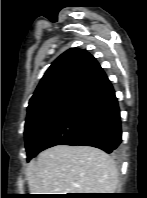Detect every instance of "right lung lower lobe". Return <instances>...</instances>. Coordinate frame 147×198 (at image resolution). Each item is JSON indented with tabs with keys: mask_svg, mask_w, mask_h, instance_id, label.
Instances as JSON below:
<instances>
[{
	"mask_svg": "<svg viewBox=\"0 0 147 198\" xmlns=\"http://www.w3.org/2000/svg\"><path fill=\"white\" fill-rule=\"evenodd\" d=\"M121 141L119 106L114 89L106 77L73 105L41 141L36 155L61 144L93 146L116 154Z\"/></svg>",
	"mask_w": 147,
	"mask_h": 198,
	"instance_id": "obj_1",
	"label": "right lung lower lobe"
}]
</instances>
